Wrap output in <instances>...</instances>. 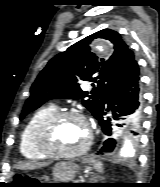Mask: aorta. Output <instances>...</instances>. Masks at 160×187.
<instances>
[{"mask_svg":"<svg viewBox=\"0 0 160 187\" xmlns=\"http://www.w3.org/2000/svg\"><path fill=\"white\" fill-rule=\"evenodd\" d=\"M98 51L102 52L103 46L99 45L96 47ZM134 142L131 139V137L129 136H124L121 140V149L119 152V155L121 157H128V156H132L134 154Z\"/></svg>","mask_w":160,"mask_h":187,"instance_id":"aorta-1","label":"aorta"}]
</instances>
